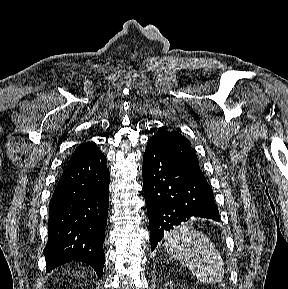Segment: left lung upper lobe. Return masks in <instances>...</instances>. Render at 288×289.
Instances as JSON below:
<instances>
[{
	"mask_svg": "<svg viewBox=\"0 0 288 289\" xmlns=\"http://www.w3.org/2000/svg\"><path fill=\"white\" fill-rule=\"evenodd\" d=\"M151 139L159 144L172 158L202 173L198 158L191 149L190 141L180 133L162 127Z\"/></svg>",
	"mask_w": 288,
	"mask_h": 289,
	"instance_id": "left-lung-upper-lobe-1",
	"label": "left lung upper lobe"
}]
</instances>
